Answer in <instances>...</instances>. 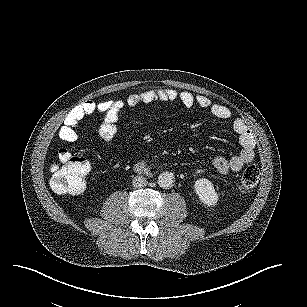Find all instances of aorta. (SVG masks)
Returning a JSON list of instances; mask_svg holds the SVG:
<instances>
[{
  "mask_svg": "<svg viewBox=\"0 0 307 307\" xmlns=\"http://www.w3.org/2000/svg\"><path fill=\"white\" fill-rule=\"evenodd\" d=\"M174 175L170 172H162L159 174L158 178H157V184L161 187V188H171L174 184Z\"/></svg>",
  "mask_w": 307,
  "mask_h": 307,
  "instance_id": "obj_1",
  "label": "aorta"
}]
</instances>
